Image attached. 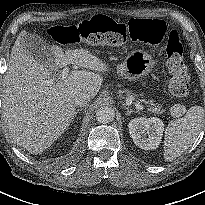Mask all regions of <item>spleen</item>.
<instances>
[{"mask_svg":"<svg viewBox=\"0 0 205 205\" xmlns=\"http://www.w3.org/2000/svg\"><path fill=\"white\" fill-rule=\"evenodd\" d=\"M205 109L201 106L189 108L183 118L171 121L165 131L164 159L173 161L184 153L198 136Z\"/></svg>","mask_w":205,"mask_h":205,"instance_id":"3e777b00","label":"spleen"}]
</instances>
